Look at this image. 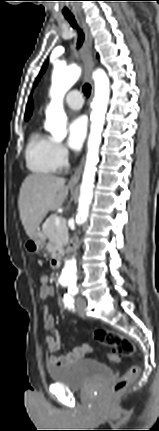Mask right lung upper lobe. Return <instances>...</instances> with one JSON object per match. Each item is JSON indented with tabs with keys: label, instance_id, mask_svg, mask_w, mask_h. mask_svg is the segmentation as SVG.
Instances as JSON below:
<instances>
[{
	"label": "right lung upper lobe",
	"instance_id": "cb5924a9",
	"mask_svg": "<svg viewBox=\"0 0 159 431\" xmlns=\"http://www.w3.org/2000/svg\"><path fill=\"white\" fill-rule=\"evenodd\" d=\"M31 113H32V102L29 99L28 105L26 107L25 120H28L30 118Z\"/></svg>",
	"mask_w": 159,
	"mask_h": 431
}]
</instances>
